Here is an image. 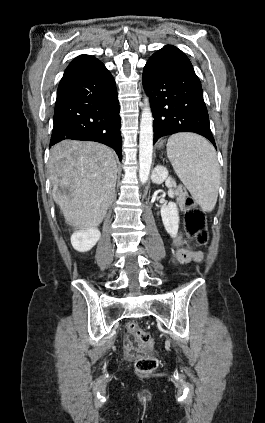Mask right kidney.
I'll list each match as a JSON object with an SVG mask.
<instances>
[{
  "mask_svg": "<svg viewBox=\"0 0 265 423\" xmlns=\"http://www.w3.org/2000/svg\"><path fill=\"white\" fill-rule=\"evenodd\" d=\"M100 237L101 233L98 228L79 230L71 236V244L75 250L87 252L96 245Z\"/></svg>",
  "mask_w": 265,
  "mask_h": 423,
  "instance_id": "ca27d5eb",
  "label": "right kidney"
}]
</instances>
